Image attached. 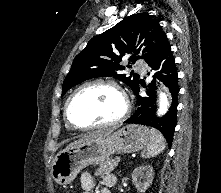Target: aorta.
Masks as SVG:
<instances>
[{"mask_svg":"<svg viewBox=\"0 0 221 193\" xmlns=\"http://www.w3.org/2000/svg\"><path fill=\"white\" fill-rule=\"evenodd\" d=\"M168 107H169V101L167 95L163 92H160L158 115H163L164 113H166Z\"/></svg>","mask_w":221,"mask_h":193,"instance_id":"1","label":"aorta"}]
</instances>
